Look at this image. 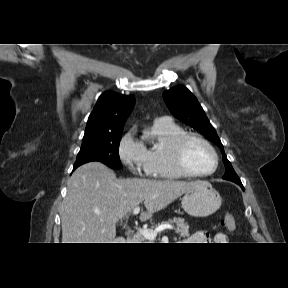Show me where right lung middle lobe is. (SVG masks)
Masks as SVG:
<instances>
[{"mask_svg":"<svg viewBox=\"0 0 288 288\" xmlns=\"http://www.w3.org/2000/svg\"><path fill=\"white\" fill-rule=\"evenodd\" d=\"M121 133L122 131L84 140L77 155L74 169L91 161H99L112 168H122L118 154Z\"/></svg>","mask_w":288,"mask_h":288,"instance_id":"obj_1","label":"right lung middle lobe"}]
</instances>
